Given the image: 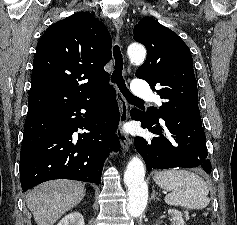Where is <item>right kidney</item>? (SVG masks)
I'll list each match as a JSON object with an SVG mask.
<instances>
[{"label":"right kidney","instance_id":"ca27d5eb","mask_svg":"<svg viewBox=\"0 0 237 225\" xmlns=\"http://www.w3.org/2000/svg\"><path fill=\"white\" fill-rule=\"evenodd\" d=\"M57 225H85V223L79 212H71L62 218Z\"/></svg>","mask_w":237,"mask_h":225}]
</instances>
